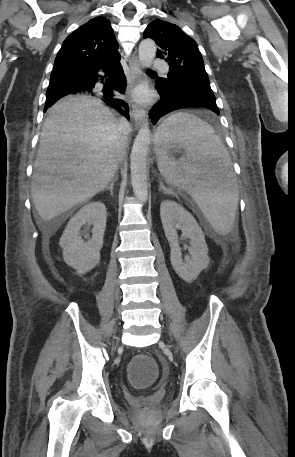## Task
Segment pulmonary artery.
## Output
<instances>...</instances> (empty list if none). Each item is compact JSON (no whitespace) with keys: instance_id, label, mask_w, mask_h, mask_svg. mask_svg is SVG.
<instances>
[{"instance_id":"e3ab8cb5","label":"pulmonary artery","mask_w":295,"mask_h":457,"mask_svg":"<svg viewBox=\"0 0 295 457\" xmlns=\"http://www.w3.org/2000/svg\"><path fill=\"white\" fill-rule=\"evenodd\" d=\"M153 67L162 71L163 73L168 72V65L163 60L155 59L153 61Z\"/></svg>"}]
</instances>
